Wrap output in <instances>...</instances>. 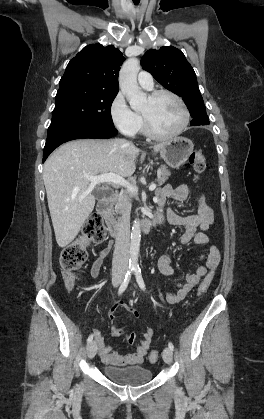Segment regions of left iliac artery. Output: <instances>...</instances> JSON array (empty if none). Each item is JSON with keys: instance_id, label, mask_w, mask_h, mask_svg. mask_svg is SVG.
Here are the masks:
<instances>
[{"instance_id": "left-iliac-artery-1", "label": "left iliac artery", "mask_w": 264, "mask_h": 419, "mask_svg": "<svg viewBox=\"0 0 264 419\" xmlns=\"http://www.w3.org/2000/svg\"><path fill=\"white\" fill-rule=\"evenodd\" d=\"M134 271H135L136 280H137V283H138L139 287H140L143 291H144V290H146V286H145L144 280H143V278H142L141 269L139 268V266H138V267H136V268H134ZM168 347H169L172 351L174 350V345H173L171 342H169V343H168Z\"/></svg>"}]
</instances>
